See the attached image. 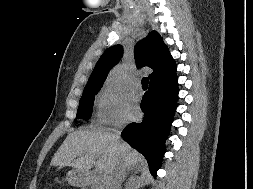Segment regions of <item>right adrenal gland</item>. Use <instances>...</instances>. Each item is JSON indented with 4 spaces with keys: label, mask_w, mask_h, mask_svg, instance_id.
<instances>
[{
    "label": "right adrenal gland",
    "mask_w": 253,
    "mask_h": 189,
    "mask_svg": "<svg viewBox=\"0 0 253 189\" xmlns=\"http://www.w3.org/2000/svg\"><path fill=\"white\" fill-rule=\"evenodd\" d=\"M138 171H139L138 166L128 167L126 176H128L130 173H131V174L137 173ZM124 180H125V178H124Z\"/></svg>",
    "instance_id": "2a0ac1e0"
}]
</instances>
